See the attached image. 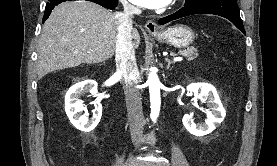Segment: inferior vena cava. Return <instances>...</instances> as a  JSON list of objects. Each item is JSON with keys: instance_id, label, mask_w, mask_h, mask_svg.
<instances>
[{"instance_id": "inferior-vena-cava-1", "label": "inferior vena cava", "mask_w": 277, "mask_h": 166, "mask_svg": "<svg viewBox=\"0 0 277 166\" xmlns=\"http://www.w3.org/2000/svg\"><path fill=\"white\" fill-rule=\"evenodd\" d=\"M124 11L115 14L118 25L116 41V67L123 76V88L128 112L132 142L139 146V137L143 133L144 117L141 96L137 88L139 71L136 64L134 47L131 39L132 18L139 14V8L121 0Z\"/></svg>"}]
</instances>
